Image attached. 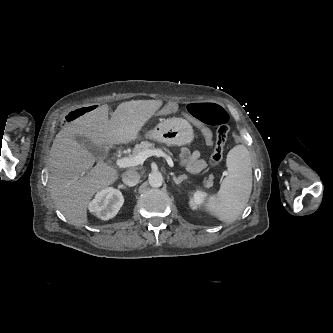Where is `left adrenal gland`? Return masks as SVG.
<instances>
[{"label":"left adrenal gland","mask_w":333,"mask_h":333,"mask_svg":"<svg viewBox=\"0 0 333 333\" xmlns=\"http://www.w3.org/2000/svg\"><path fill=\"white\" fill-rule=\"evenodd\" d=\"M184 180H187L186 175H180L179 177H176L175 175H173V181L175 182L176 185H179Z\"/></svg>","instance_id":"1"}]
</instances>
